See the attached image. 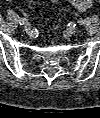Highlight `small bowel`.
<instances>
[{
  "mask_svg": "<svg viewBox=\"0 0 100 118\" xmlns=\"http://www.w3.org/2000/svg\"><path fill=\"white\" fill-rule=\"evenodd\" d=\"M6 2H9L11 0H5ZM51 2H58L60 0H50ZM68 3H70L72 6H74L79 11H84L89 9L93 5V0H65Z\"/></svg>",
  "mask_w": 100,
  "mask_h": 118,
  "instance_id": "1",
  "label": "small bowel"
}]
</instances>
